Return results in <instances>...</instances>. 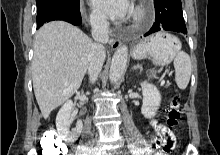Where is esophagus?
<instances>
[{"instance_id": "1", "label": "esophagus", "mask_w": 220, "mask_h": 155, "mask_svg": "<svg viewBox=\"0 0 220 155\" xmlns=\"http://www.w3.org/2000/svg\"><path fill=\"white\" fill-rule=\"evenodd\" d=\"M110 45L113 49H118L119 46L121 45V41L119 39H111Z\"/></svg>"}]
</instances>
